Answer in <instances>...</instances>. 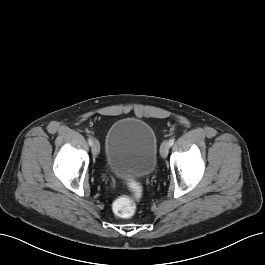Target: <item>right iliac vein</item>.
Returning a JSON list of instances; mask_svg holds the SVG:
<instances>
[{"label":"right iliac vein","instance_id":"63e3f726","mask_svg":"<svg viewBox=\"0 0 265 265\" xmlns=\"http://www.w3.org/2000/svg\"><path fill=\"white\" fill-rule=\"evenodd\" d=\"M91 150H92V154L94 157L98 156L99 151H100V144L97 140L93 141Z\"/></svg>","mask_w":265,"mask_h":265}]
</instances>
